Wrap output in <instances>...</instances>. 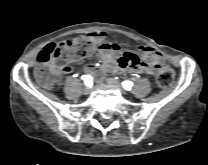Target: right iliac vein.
<instances>
[{"label": "right iliac vein", "instance_id": "right-iliac-vein-1", "mask_svg": "<svg viewBox=\"0 0 208 165\" xmlns=\"http://www.w3.org/2000/svg\"><path fill=\"white\" fill-rule=\"evenodd\" d=\"M91 92V88L90 87H88V86H86L84 89H83V93L84 94H89Z\"/></svg>", "mask_w": 208, "mask_h": 165}]
</instances>
